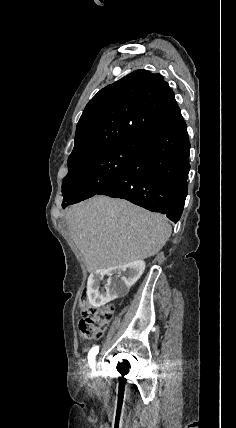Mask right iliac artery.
Instances as JSON below:
<instances>
[{"instance_id": "1", "label": "right iliac artery", "mask_w": 236, "mask_h": 428, "mask_svg": "<svg viewBox=\"0 0 236 428\" xmlns=\"http://www.w3.org/2000/svg\"><path fill=\"white\" fill-rule=\"evenodd\" d=\"M98 352H99V346H95V347L91 348V350L88 353V363L90 365V368H92L93 373H96L95 372V363H96L95 357L98 354Z\"/></svg>"}]
</instances>
